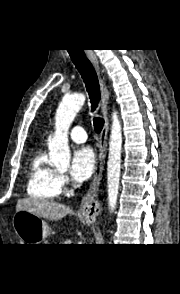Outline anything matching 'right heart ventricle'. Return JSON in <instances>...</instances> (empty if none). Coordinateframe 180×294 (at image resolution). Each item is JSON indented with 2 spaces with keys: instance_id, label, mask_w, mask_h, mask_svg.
<instances>
[{
  "instance_id": "e07e8e85",
  "label": "right heart ventricle",
  "mask_w": 180,
  "mask_h": 294,
  "mask_svg": "<svg viewBox=\"0 0 180 294\" xmlns=\"http://www.w3.org/2000/svg\"><path fill=\"white\" fill-rule=\"evenodd\" d=\"M26 188L29 196L41 200H51L60 194L57 172L47 164L43 151L37 152L30 162Z\"/></svg>"
}]
</instances>
